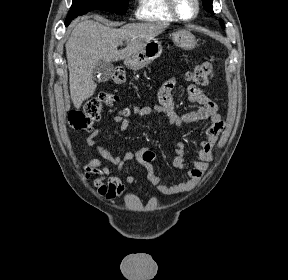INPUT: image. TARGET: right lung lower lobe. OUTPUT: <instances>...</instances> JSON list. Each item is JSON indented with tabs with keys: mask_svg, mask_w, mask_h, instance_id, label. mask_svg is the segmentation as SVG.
Wrapping results in <instances>:
<instances>
[{
	"mask_svg": "<svg viewBox=\"0 0 288 280\" xmlns=\"http://www.w3.org/2000/svg\"><path fill=\"white\" fill-rule=\"evenodd\" d=\"M71 21H72V20H67V21H65V25L68 26Z\"/></svg>",
	"mask_w": 288,
	"mask_h": 280,
	"instance_id": "98d812e1",
	"label": "right lung lower lobe"
}]
</instances>
